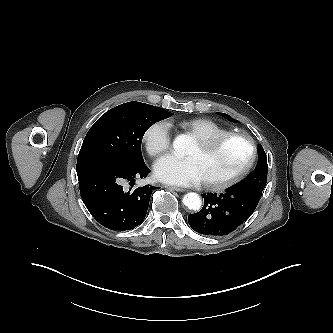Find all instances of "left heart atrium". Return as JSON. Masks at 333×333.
Here are the masks:
<instances>
[{
  "label": "left heart atrium",
  "mask_w": 333,
  "mask_h": 333,
  "mask_svg": "<svg viewBox=\"0 0 333 333\" xmlns=\"http://www.w3.org/2000/svg\"><path fill=\"white\" fill-rule=\"evenodd\" d=\"M154 172L159 180L180 186L197 185L203 181L197 162L190 157L166 155L155 163Z\"/></svg>",
  "instance_id": "39dd6f15"
}]
</instances>
